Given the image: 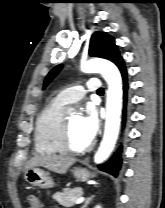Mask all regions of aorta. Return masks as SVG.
Masks as SVG:
<instances>
[{
  "label": "aorta",
  "mask_w": 165,
  "mask_h": 208,
  "mask_svg": "<svg viewBox=\"0 0 165 208\" xmlns=\"http://www.w3.org/2000/svg\"><path fill=\"white\" fill-rule=\"evenodd\" d=\"M81 70L85 73H101L108 83L105 132L100 147L94 156L95 163H102L114 149L119 134L122 109V79L118 68L105 59H91L82 62Z\"/></svg>",
  "instance_id": "1"
}]
</instances>
